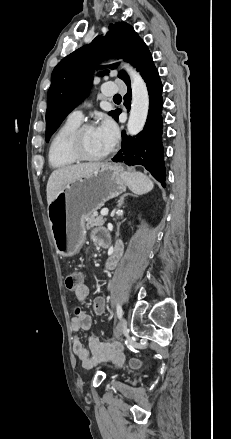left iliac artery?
I'll use <instances>...</instances> for the list:
<instances>
[{"label":"left iliac artery","instance_id":"left-iliac-artery-1","mask_svg":"<svg viewBox=\"0 0 231 439\" xmlns=\"http://www.w3.org/2000/svg\"><path fill=\"white\" fill-rule=\"evenodd\" d=\"M116 310L118 318L121 319L123 312L120 304H117Z\"/></svg>","mask_w":231,"mask_h":439}]
</instances>
